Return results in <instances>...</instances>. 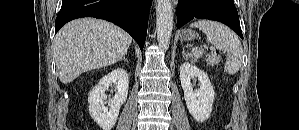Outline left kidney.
<instances>
[{
	"label": "left kidney",
	"mask_w": 299,
	"mask_h": 130,
	"mask_svg": "<svg viewBox=\"0 0 299 130\" xmlns=\"http://www.w3.org/2000/svg\"><path fill=\"white\" fill-rule=\"evenodd\" d=\"M197 77L200 88L193 91L191 79ZM180 81L189 113L197 122L206 121L212 112L215 92L207 74L190 62L180 67Z\"/></svg>",
	"instance_id": "5707ae66"
}]
</instances>
